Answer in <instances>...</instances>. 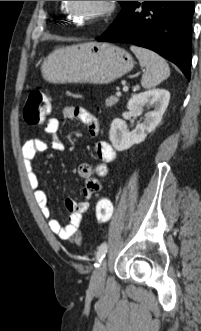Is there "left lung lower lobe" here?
I'll use <instances>...</instances> for the list:
<instances>
[{"instance_id":"left-lung-lower-lobe-1","label":"left lung lower lobe","mask_w":201,"mask_h":331,"mask_svg":"<svg viewBox=\"0 0 201 331\" xmlns=\"http://www.w3.org/2000/svg\"><path fill=\"white\" fill-rule=\"evenodd\" d=\"M98 41L131 43L175 63L190 80L194 1H123Z\"/></svg>"}]
</instances>
